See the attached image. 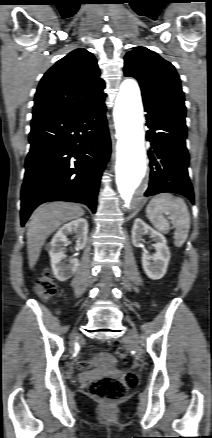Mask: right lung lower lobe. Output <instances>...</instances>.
I'll list each match as a JSON object with an SVG mask.
<instances>
[{"label":"right lung lower lobe","mask_w":212,"mask_h":438,"mask_svg":"<svg viewBox=\"0 0 212 438\" xmlns=\"http://www.w3.org/2000/svg\"><path fill=\"white\" fill-rule=\"evenodd\" d=\"M104 102L34 119L21 189V225L40 204L69 201L96 211L100 179L110 155Z\"/></svg>","instance_id":"1"}]
</instances>
